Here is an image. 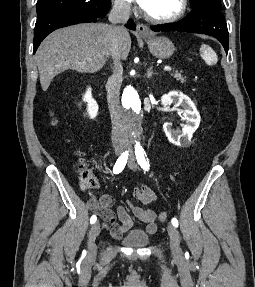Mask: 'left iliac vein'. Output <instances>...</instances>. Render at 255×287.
<instances>
[{
	"label": "left iliac vein",
	"instance_id": "obj_1",
	"mask_svg": "<svg viewBox=\"0 0 255 287\" xmlns=\"http://www.w3.org/2000/svg\"><path fill=\"white\" fill-rule=\"evenodd\" d=\"M128 167L132 170H136L137 163L134 155L131 153L128 161ZM167 232L170 237V246L174 255H179L181 253L178 231L172 224H168Z\"/></svg>",
	"mask_w": 255,
	"mask_h": 287
}]
</instances>
